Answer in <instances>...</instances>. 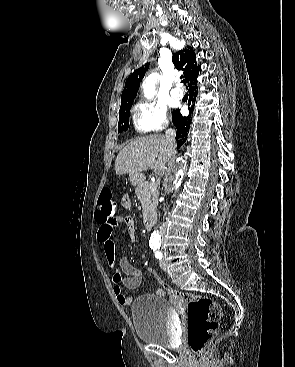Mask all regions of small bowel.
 Segmentation results:
<instances>
[{
    "label": "small bowel",
    "mask_w": 295,
    "mask_h": 367,
    "mask_svg": "<svg viewBox=\"0 0 295 367\" xmlns=\"http://www.w3.org/2000/svg\"><path fill=\"white\" fill-rule=\"evenodd\" d=\"M122 206L124 208H130L131 201L129 196L125 195L122 199ZM99 228L97 231V241L103 247L106 262L109 266L115 265V245L112 239V233L116 226L123 223L126 227L130 239L136 241V226L133 217H115L114 220L109 222H98ZM143 274L140 269L133 265L126 257H121L118 260V268L114 271L111 280L113 283V292L116 296L118 303L127 307L130 306L134 297L133 295H125L124 290H135L142 283ZM157 294H162V290H157Z\"/></svg>",
    "instance_id": "c3829d8e"
}]
</instances>
